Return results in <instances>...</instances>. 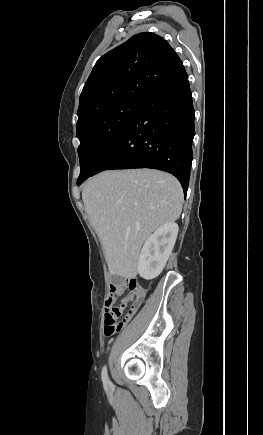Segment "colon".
<instances>
[{"instance_id": "colon-1", "label": "colon", "mask_w": 263, "mask_h": 435, "mask_svg": "<svg viewBox=\"0 0 263 435\" xmlns=\"http://www.w3.org/2000/svg\"><path fill=\"white\" fill-rule=\"evenodd\" d=\"M128 290L129 293L124 298L121 305L112 307L105 313V335L111 336L119 332L124 323L129 321L139 308L145 292L144 289L138 284L135 279H126L122 283L111 286V291L116 294L122 293V291ZM127 308V313L122 321H118L123 310Z\"/></svg>"}]
</instances>
